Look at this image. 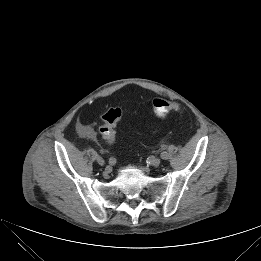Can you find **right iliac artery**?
Segmentation results:
<instances>
[{
	"mask_svg": "<svg viewBox=\"0 0 261 261\" xmlns=\"http://www.w3.org/2000/svg\"><path fill=\"white\" fill-rule=\"evenodd\" d=\"M108 162L110 165H114L116 163V159L114 157H110Z\"/></svg>",
	"mask_w": 261,
	"mask_h": 261,
	"instance_id": "obj_1",
	"label": "right iliac artery"
}]
</instances>
